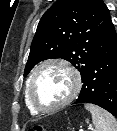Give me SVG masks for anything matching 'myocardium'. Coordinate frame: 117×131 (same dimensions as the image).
<instances>
[{
	"label": "myocardium",
	"instance_id": "obj_1",
	"mask_svg": "<svg viewBox=\"0 0 117 131\" xmlns=\"http://www.w3.org/2000/svg\"><path fill=\"white\" fill-rule=\"evenodd\" d=\"M50 66L62 67L70 74V76L72 78V89H71L70 94L63 101H61L59 104L46 108V107H42L36 101L34 94H33V83H34V80H35L37 74L42 69H44L46 67H50ZM81 86H82L81 75H80L79 71L74 66H72L71 64H69L68 62H66L64 60H48V61H45V62L39 64L33 70L32 74L30 75V77L27 81V94H28V98H29L31 105L33 106V108L37 112L51 113V112L58 111V110L62 109L63 107L67 106L69 103H71L77 97L78 93L80 92Z\"/></svg>",
	"mask_w": 117,
	"mask_h": 131
}]
</instances>
